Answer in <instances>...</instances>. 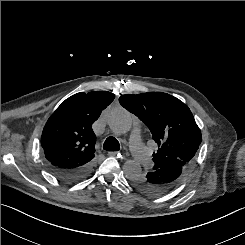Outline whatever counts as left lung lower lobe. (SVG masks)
Here are the masks:
<instances>
[{
	"mask_svg": "<svg viewBox=\"0 0 245 245\" xmlns=\"http://www.w3.org/2000/svg\"><path fill=\"white\" fill-rule=\"evenodd\" d=\"M186 172L187 169L180 165L161 167L150 171L149 175L137 176L134 187L146 196L163 195L173 190L182 181Z\"/></svg>",
	"mask_w": 245,
	"mask_h": 245,
	"instance_id": "1",
	"label": "left lung lower lobe"
}]
</instances>
